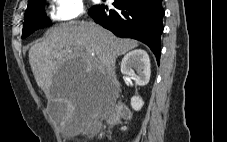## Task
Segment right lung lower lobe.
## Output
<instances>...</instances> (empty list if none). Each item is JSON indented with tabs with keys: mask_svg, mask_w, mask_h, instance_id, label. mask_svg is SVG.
<instances>
[{
	"mask_svg": "<svg viewBox=\"0 0 227 142\" xmlns=\"http://www.w3.org/2000/svg\"><path fill=\"white\" fill-rule=\"evenodd\" d=\"M113 5L115 9L95 5L89 10V15L119 37L147 44L159 63L164 16L162 0H115Z\"/></svg>",
	"mask_w": 227,
	"mask_h": 142,
	"instance_id": "98d812e1",
	"label": "right lung lower lobe"
}]
</instances>
